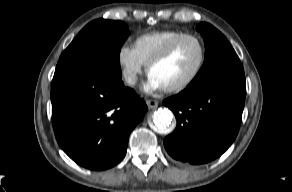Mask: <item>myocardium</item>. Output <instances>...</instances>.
I'll use <instances>...</instances> for the list:
<instances>
[{"label":"myocardium","instance_id":"myocardium-1","mask_svg":"<svg viewBox=\"0 0 292 192\" xmlns=\"http://www.w3.org/2000/svg\"><path fill=\"white\" fill-rule=\"evenodd\" d=\"M188 39L194 40L199 46V49H200L199 62L197 64L196 68L194 69V71L186 79H184L183 81H181L175 85H172L169 87H164V90L166 92H170V93L180 92V91L188 88L199 77V75L201 74V72L206 64V58H207V50H206V46H205L203 39L196 34L185 33V34L175 38L169 45L166 46V48H164L160 53L155 55L146 64V71L149 74L152 67H154L155 65H157V64L163 62L164 60H166L167 58H169L173 54V52L176 50V48L183 41L188 40Z\"/></svg>","mask_w":292,"mask_h":192}]
</instances>
